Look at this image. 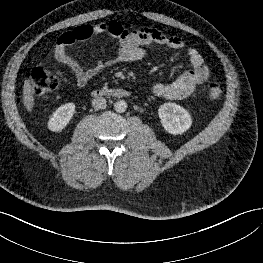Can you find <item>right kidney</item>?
<instances>
[{"mask_svg":"<svg viewBox=\"0 0 263 263\" xmlns=\"http://www.w3.org/2000/svg\"><path fill=\"white\" fill-rule=\"evenodd\" d=\"M74 113H75L74 103H66L60 106L50 117L48 121V129L53 132H60L70 122Z\"/></svg>","mask_w":263,"mask_h":263,"instance_id":"obj_1","label":"right kidney"}]
</instances>
